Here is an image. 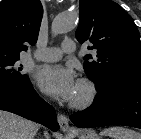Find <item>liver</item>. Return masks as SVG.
Returning <instances> with one entry per match:
<instances>
[{"label":"liver","instance_id":"obj_1","mask_svg":"<svg viewBox=\"0 0 141 139\" xmlns=\"http://www.w3.org/2000/svg\"><path fill=\"white\" fill-rule=\"evenodd\" d=\"M39 124L0 110V139H33ZM46 139H49L48 134Z\"/></svg>","mask_w":141,"mask_h":139}]
</instances>
